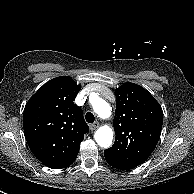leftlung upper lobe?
Wrapping results in <instances>:
<instances>
[{"label": "left lung upper lobe", "mask_w": 194, "mask_h": 194, "mask_svg": "<svg viewBox=\"0 0 194 194\" xmlns=\"http://www.w3.org/2000/svg\"><path fill=\"white\" fill-rule=\"evenodd\" d=\"M116 112L113 146L104 150L121 164L137 167L155 149L161 135L163 111L156 99L143 87L125 83L115 90Z\"/></svg>", "instance_id": "5c2ea615"}]
</instances>
